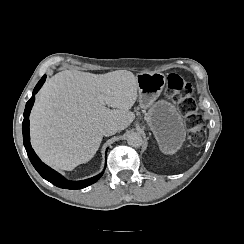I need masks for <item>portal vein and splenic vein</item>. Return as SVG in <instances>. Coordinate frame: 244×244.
Here are the masks:
<instances>
[{
    "label": "portal vein and splenic vein",
    "mask_w": 244,
    "mask_h": 244,
    "mask_svg": "<svg viewBox=\"0 0 244 244\" xmlns=\"http://www.w3.org/2000/svg\"><path fill=\"white\" fill-rule=\"evenodd\" d=\"M100 102H101V103H104V100H103V99H101V100H100Z\"/></svg>",
    "instance_id": "obj_1"
}]
</instances>
